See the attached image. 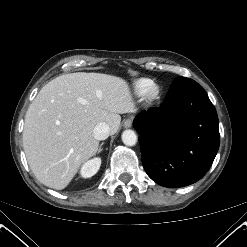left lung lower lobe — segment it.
Masks as SVG:
<instances>
[{"label": "left lung lower lobe", "instance_id": "1", "mask_svg": "<svg viewBox=\"0 0 247 247\" xmlns=\"http://www.w3.org/2000/svg\"><path fill=\"white\" fill-rule=\"evenodd\" d=\"M133 126L140 134L146 173L165 187H183L200 180L219 148L216 110L194 80L173 82L164 103L139 113Z\"/></svg>", "mask_w": 247, "mask_h": 247}]
</instances>
